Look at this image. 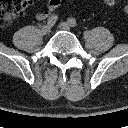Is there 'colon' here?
<instances>
[{
    "instance_id": "1",
    "label": "colon",
    "mask_w": 128,
    "mask_h": 128,
    "mask_svg": "<svg viewBox=\"0 0 128 128\" xmlns=\"http://www.w3.org/2000/svg\"><path fill=\"white\" fill-rule=\"evenodd\" d=\"M107 5H114L116 0H103ZM27 5V0H0V26L8 25L12 20L22 15ZM128 15V4L124 8Z\"/></svg>"
}]
</instances>
